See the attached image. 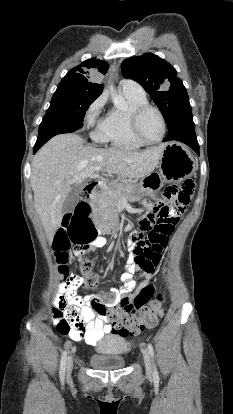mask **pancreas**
Returning a JSON list of instances; mask_svg holds the SVG:
<instances>
[{"label":"pancreas","mask_w":233,"mask_h":414,"mask_svg":"<svg viewBox=\"0 0 233 414\" xmlns=\"http://www.w3.org/2000/svg\"><path fill=\"white\" fill-rule=\"evenodd\" d=\"M131 183L132 181L129 179L120 178L117 182L112 183L100 192V214L103 217H116L118 202L127 196V188Z\"/></svg>","instance_id":"1"}]
</instances>
